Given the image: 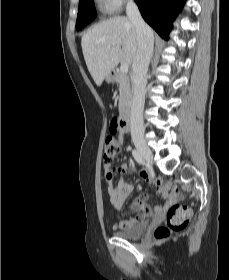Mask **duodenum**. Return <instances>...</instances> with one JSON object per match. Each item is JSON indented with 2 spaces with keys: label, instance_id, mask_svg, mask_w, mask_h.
Listing matches in <instances>:
<instances>
[{
  "label": "duodenum",
  "instance_id": "1",
  "mask_svg": "<svg viewBox=\"0 0 229 280\" xmlns=\"http://www.w3.org/2000/svg\"><path fill=\"white\" fill-rule=\"evenodd\" d=\"M115 77H118V73H114ZM130 115H131V107L127 106L123 109L120 117H119V123H120V128L122 130H126L129 128L130 125Z\"/></svg>",
  "mask_w": 229,
  "mask_h": 280
}]
</instances>
